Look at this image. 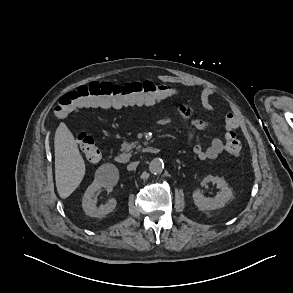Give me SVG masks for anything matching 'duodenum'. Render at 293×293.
Instances as JSON below:
<instances>
[{
  "label": "duodenum",
  "mask_w": 293,
  "mask_h": 293,
  "mask_svg": "<svg viewBox=\"0 0 293 293\" xmlns=\"http://www.w3.org/2000/svg\"><path fill=\"white\" fill-rule=\"evenodd\" d=\"M144 152H146L148 154L155 155V154H158L160 152V149L158 147H155V146H146L144 148ZM115 161L118 164L125 165L130 161V157L126 153H118L115 156Z\"/></svg>",
  "instance_id": "duodenum-1"
}]
</instances>
